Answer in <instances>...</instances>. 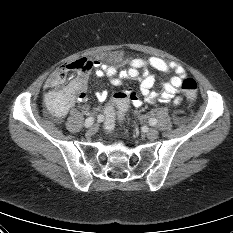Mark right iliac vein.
<instances>
[{"label":"right iliac vein","mask_w":233,"mask_h":233,"mask_svg":"<svg viewBox=\"0 0 233 233\" xmlns=\"http://www.w3.org/2000/svg\"><path fill=\"white\" fill-rule=\"evenodd\" d=\"M97 131V126H92L89 130H88V134L89 135H93L95 134Z\"/></svg>","instance_id":"right-iliac-vein-1"}]
</instances>
